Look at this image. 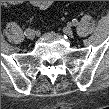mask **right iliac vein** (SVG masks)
I'll return each mask as SVG.
<instances>
[{
    "mask_svg": "<svg viewBox=\"0 0 109 109\" xmlns=\"http://www.w3.org/2000/svg\"><path fill=\"white\" fill-rule=\"evenodd\" d=\"M26 37L30 40H33L35 38V33L32 30H29L28 32H26Z\"/></svg>",
    "mask_w": 109,
    "mask_h": 109,
    "instance_id": "1",
    "label": "right iliac vein"
}]
</instances>
